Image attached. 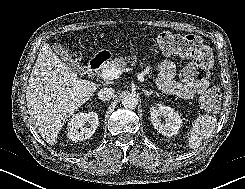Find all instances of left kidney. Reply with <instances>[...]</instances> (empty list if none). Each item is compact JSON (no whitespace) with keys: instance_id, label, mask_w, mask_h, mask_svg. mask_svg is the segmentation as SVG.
Masks as SVG:
<instances>
[{"instance_id":"1","label":"left kidney","mask_w":245,"mask_h":189,"mask_svg":"<svg viewBox=\"0 0 245 189\" xmlns=\"http://www.w3.org/2000/svg\"><path fill=\"white\" fill-rule=\"evenodd\" d=\"M150 114L153 126L159 133L168 137L178 134L182 120L179 113L173 108L158 105L151 108ZM161 118H164L165 123L162 122Z\"/></svg>"}]
</instances>
